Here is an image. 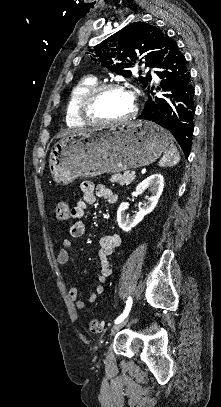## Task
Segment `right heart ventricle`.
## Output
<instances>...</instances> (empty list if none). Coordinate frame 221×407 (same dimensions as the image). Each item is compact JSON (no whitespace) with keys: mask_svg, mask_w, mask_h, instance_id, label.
Returning <instances> with one entry per match:
<instances>
[{"mask_svg":"<svg viewBox=\"0 0 221 407\" xmlns=\"http://www.w3.org/2000/svg\"><path fill=\"white\" fill-rule=\"evenodd\" d=\"M97 85L99 83L96 78L85 77L76 82L71 88L65 105V119L68 125L80 126L85 124L79 110V103Z\"/></svg>","mask_w":221,"mask_h":407,"instance_id":"e07e8e85","label":"right heart ventricle"}]
</instances>
